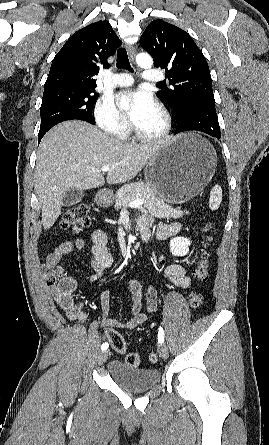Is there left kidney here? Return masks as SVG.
<instances>
[{
    "label": "left kidney",
    "instance_id": "obj_1",
    "mask_svg": "<svg viewBox=\"0 0 269 445\" xmlns=\"http://www.w3.org/2000/svg\"><path fill=\"white\" fill-rule=\"evenodd\" d=\"M190 240L184 237H176L170 240V252L174 256H185L189 252Z\"/></svg>",
    "mask_w": 269,
    "mask_h": 445
}]
</instances>
